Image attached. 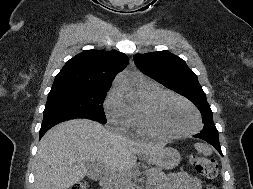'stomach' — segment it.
I'll list each match as a JSON object with an SVG mask.
<instances>
[{
  "label": "stomach",
  "instance_id": "1",
  "mask_svg": "<svg viewBox=\"0 0 253 189\" xmlns=\"http://www.w3.org/2000/svg\"><path fill=\"white\" fill-rule=\"evenodd\" d=\"M181 160L178 150L166 147L157 154L149 158V162L163 169H172L179 164Z\"/></svg>",
  "mask_w": 253,
  "mask_h": 189
}]
</instances>
